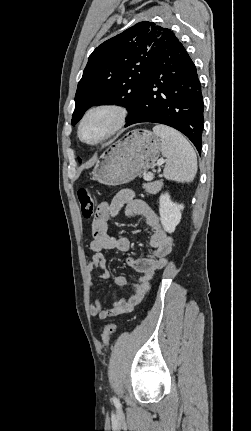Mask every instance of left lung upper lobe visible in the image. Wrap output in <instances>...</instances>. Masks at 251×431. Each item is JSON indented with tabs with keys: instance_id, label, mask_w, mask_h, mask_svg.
Returning a JSON list of instances; mask_svg holds the SVG:
<instances>
[{
	"instance_id": "obj_1",
	"label": "left lung upper lobe",
	"mask_w": 251,
	"mask_h": 431,
	"mask_svg": "<svg viewBox=\"0 0 251 431\" xmlns=\"http://www.w3.org/2000/svg\"><path fill=\"white\" fill-rule=\"evenodd\" d=\"M172 35L171 30L146 21L99 45L89 56L78 83L72 124L88 108L100 104L124 106L130 117L142 95L157 50Z\"/></svg>"
}]
</instances>
